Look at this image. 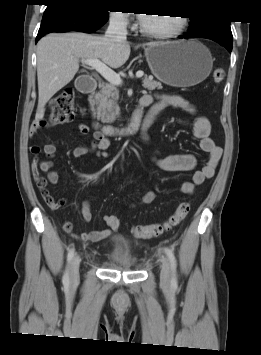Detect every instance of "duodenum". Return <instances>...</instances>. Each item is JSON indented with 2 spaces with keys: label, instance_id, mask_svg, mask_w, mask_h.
I'll list each match as a JSON object with an SVG mask.
<instances>
[{
  "label": "duodenum",
  "instance_id": "duodenum-1",
  "mask_svg": "<svg viewBox=\"0 0 261 355\" xmlns=\"http://www.w3.org/2000/svg\"><path fill=\"white\" fill-rule=\"evenodd\" d=\"M76 87L81 93H91L97 88V81L89 76H83L78 79ZM93 125L96 129L109 136H130L135 134L141 126L144 128V122L141 121V113L138 111L133 113L130 122L125 126L101 125L97 122H94Z\"/></svg>",
  "mask_w": 261,
  "mask_h": 355
}]
</instances>
